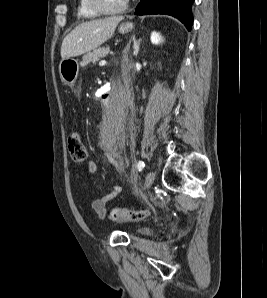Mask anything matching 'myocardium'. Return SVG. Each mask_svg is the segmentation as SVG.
Segmentation results:
<instances>
[{"label":"myocardium","mask_w":267,"mask_h":298,"mask_svg":"<svg viewBox=\"0 0 267 298\" xmlns=\"http://www.w3.org/2000/svg\"><path fill=\"white\" fill-rule=\"evenodd\" d=\"M90 6L93 10H95L100 15H116L123 13L128 7V0L124 2V4L117 8V9H108L105 5L103 0H89Z\"/></svg>","instance_id":"myocardium-1"}]
</instances>
